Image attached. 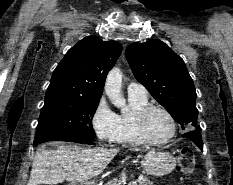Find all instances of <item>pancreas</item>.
I'll return each instance as SVG.
<instances>
[{"label": "pancreas", "instance_id": "1", "mask_svg": "<svg viewBox=\"0 0 233 185\" xmlns=\"http://www.w3.org/2000/svg\"><path fill=\"white\" fill-rule=\"evenodd\" d=\"M105 185H122V182L121 180L113 179ZM133 185H152V182L147 176L141 175L135 182H133Z\"/></svg>", "mask_w": 233, "mask_h": 185}]
</instances>
